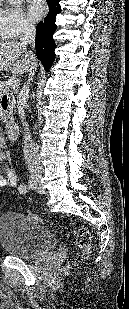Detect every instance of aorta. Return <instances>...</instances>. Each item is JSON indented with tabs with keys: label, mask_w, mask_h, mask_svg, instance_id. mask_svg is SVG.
Returning a JSON list of instances; mask_svg holds the SVG:
<instances>
[{
	"label": "aorta",
	"mask_w": 129,
	"mask_h": 309,
	"mask_svg": "<svg viewBox=\"0 0 129 309\" xmlns=\"http://www.w3.org/2000/svg\"><path fill=\"white\" fill-rule=\"evenodd\" d=\"M8 2H9L10 4L14 5V4L19 3L20 0H8ZM25 138H26V141H27V142H30L31 134H30V131H29V130H27V132H26V137H25Z\"/></svg>",
	"instance_id": "obj_1"
}]
</instances>
